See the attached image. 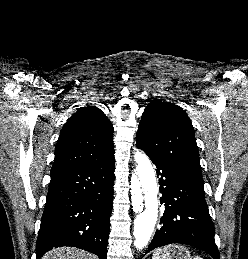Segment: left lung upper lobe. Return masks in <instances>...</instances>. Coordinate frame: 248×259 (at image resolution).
I'll list each match as a JSON object with an SVG mask.
<instances>
[{"mask_svg": "<svg viewBox=\"0 0 248 259\" xmlns=\"http://www.w3.org/2000/svg\"><path fill=\"white\" fill-rule=\"evenodd\" d=\"M136 140L137 146L167 162L189 181L203 185L194 129L181 107L153 100L142 115Z\"/></svg>", "mask_w": 248, "mask_h": 259, "instance_id": "obj_1", "label": "left lung upper lobe"}]
</instances>
